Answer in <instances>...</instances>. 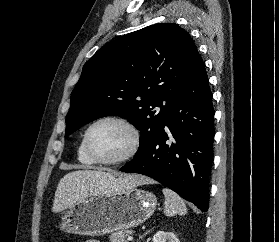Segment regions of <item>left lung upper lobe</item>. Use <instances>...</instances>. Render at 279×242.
<instances>
[{
	"mask_svg": "<svg viewBox=\"0 0 279 242\" xmlns=\"http://www.w3.org/2000/svg\"><path fill=\"white\" fill-rule=\"evenodd\" d=\"M198 55L189 34L174 23L151 25L106 44L83 67L71 94L65 133L100 117L120 116L141 131L135 157L145 153Z\"/></svg>",
	"mask_w": 279,
	"mask_h": 242,
	"instance_id": "1",
	"label": "left lung upper lobe"
}]
</instances>
